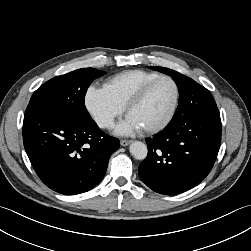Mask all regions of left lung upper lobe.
<instances>
[{
  "label": "left lung upper lobe",
  "instance_id": "5c2ea615",
  "mask_svg": "<svg viewBox=\"0 0 251 251\" xmlns=\"http://www.w3.org/2000/svg\"><path fill=\"white\" fill-rule=\"evenodd\" d=\"M150 68L163 72L167 75H170L173 78L179 90V94H180L179 101L184 95L203 88V86L199 85L191 78L184 76L183 74L176 72L174 70H171L169 68L155 67V66H150ZM175 118H176V113L174 114L172 120H174Z\"/></svg>",
  "mask_w": 251,
  "mask_h": 251
}]
</instances>
